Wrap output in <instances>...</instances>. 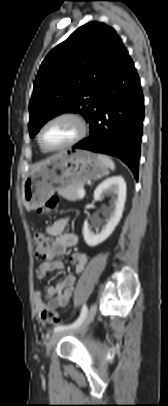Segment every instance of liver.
I'll list each match as a JSON object with an SVG mask.
<instances>
[{"mask_svg": "<svg viewBox=\"0 0 168 406\" xmlns=\"http://www.w3.org/2000/svg\"><path fill=\"white\" fill-rule=\"evenodd\" d=\"M50 160H51V158H50V159H47V160H45V161H42V162H40V163H38L37 165H35L34 170L37 169V168H39V167H41L42 165L48 163Z\"/></svg>", "mask_w": 168, "mask_h": 406, "instance_id": "obj_1", "label": "liver"}]
</instances>
